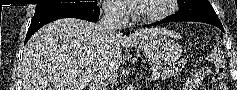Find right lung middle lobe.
I'll list each match as a JSON object with an SVG mask.
<instances>
[{
  "mask_svg": "<svg viewBox=\"0 0 237 90\" xmlns=\"http://www.w3.org/2000/svg\"><path fill=\"white\" fill-rule=\"evenodd\" d=\"M97 5L96 2H88V3H59V4H37L35 15H40L48 12L55 11L57 9L61 8H67V7H78V6H84V7H93Z\"/></svg>",
  "mask_w": 237,
  "mask_h": 90,
  "instance_id": "obj_1",
  "label": "right lung middle lobe"
}]
</instances>
